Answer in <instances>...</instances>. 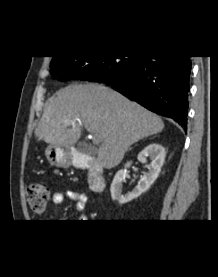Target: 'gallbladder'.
<instances>
[{
	"label": "gallbladder",
	"mask_w": 218,
	"mask_h": 277,
	"mask_svg": "<svg viewBox=\"0 0 218 277\" xmlns=\"http://www.w3.org/2000/svg\"><path fill=\"white\" fill-rule=\"evenodd\" d=\"M77 150L80 153L87 154V155H93L94 154V151L84 141L83 142H79L77 144Z\"/></svg>",
	"instance_id": "gallbladder-1"
}]
</instances>
